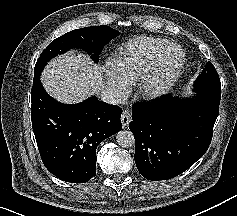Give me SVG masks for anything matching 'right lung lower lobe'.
Here are the masks:
<instances>
[{"label": "right lung lower lobe", "mask_w": 237, "mask_h": 216, "mask_svg": "<svg viewBox=\"0 0 237 216\" xmlns=\"http://www.w3.org/2000/svg\"><path fill=\"white\" fill-rule=\"evenodd\" d=\"M31 118L45 167L59 179L84 183L96 174V148L122 129V109L97 97L65 105L50 97L40 77L31 91Z\"/></svg>", "instance_id": "1"}]
</instances>
